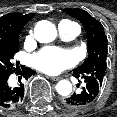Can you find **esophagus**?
Wrapping results in <instances>:
<instances>
[{
    "label": "esophagus",
    "mask_w": 117,
    "mask_h": 117,
    "mask_svg": "<svg viewBox=\"0 0 117 117\" xmlns=\"http://www.w3.org/2000/svg\"><path fill=\"white\" fill-rule=\"evenodd\" d=\"M50 79L53 80V81H59L60 77H53V76H51Z\"/></svg>",
    "instance_id": "obj_1"
}]
</instances>
